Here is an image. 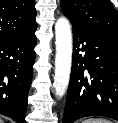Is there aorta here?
Segmentation results:
<instances>
[{
  "label": "aorta",
  "mask_w": 118,
  "mask_h": 123,
  "mask_svg": "<svg viewBox=\"0 0 118 123\" xmlns=\"http://www.w3.org/2000/svg\"><path fill=\"white\" fill-rule=\"evenodd\" d=\"M55 71H54V89L57 97L65 95L71 73L72 63V32L70 22L65 17H60L55 24Z\"/></svg>",
  "instance_id": "762f6f07"
}]
</instances>
